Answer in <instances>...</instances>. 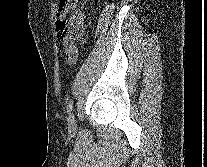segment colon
<instances>
[{
	"mask_svg": "<svg viewBox=\"0 0 207 167\" xmlns=\"http://www.w3.org/2000/svg\"><path fill=\"white\" fill-rule=\"evenodd\" d=\"M85 0H61L56 27L62 41L69 46L85 39L84 9Z\"/></svg>",
	"mask_w": 207,
	"mask_h": 167,
	"instance_id": "5ec220e1",
	"label": "colon"
}]
</instances>
